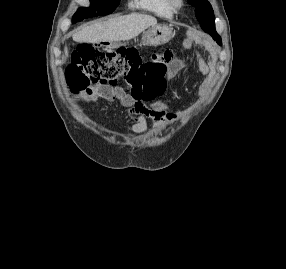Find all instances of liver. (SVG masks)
<instances>
[{
  "label": "liver",
  "instance_id": "obj_1",
  "mask_svg": "<svg viewBox=\"0 0 286 269\" xmlns=\"http://www.w3.org/2000/svg\"><path fill=\"white\" fill-rule=\"evenodd\" d=\"M157 25L155 17L150 15L132 13L119 16L104 22H96L86 26L73 34L75 42L99 43L128 40L145 29ZM65 54L68 55L67 48Z\"/></svg>",
  "mask_w": 286,
  "mask_h": 269
}]
</instances>
